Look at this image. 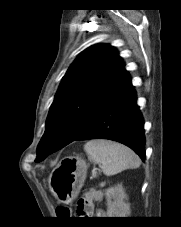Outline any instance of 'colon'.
<instances>
[{
  "instance_id": "colon-1",
  "label": "colon",
  "mask_w": 181,
  "mask_h": 227,
  "mask_svg": "<svg viewBox=\"0 0 181 227\" xmlns=\"http://www.w3.org/2000/svg\"><path fill=\"white\" fill-rule=\"evenodd\" d=\"M58 213L62 216L69 215L70 214V209L68 206H61L58 209Z\"/></svg>"
}]
</instances>
